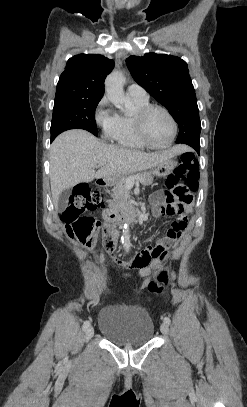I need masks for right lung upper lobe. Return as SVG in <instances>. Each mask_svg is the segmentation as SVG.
<instances>
[{
	"instance_id": "cb5924a9",
	"label": "right lung upper lobe",
	"mask_w": 247,
	"mask_h": 407,
	"mask_svg": "<svg viewBox=\"0 0 247 407\" xmlns=\"http://www.w3.org/2000/svg\"><path fill=\"white\" fill-rule=\"evenodd\" d=\"M113 67L114 61L102 55L80 54L70 58L59 78L55 99H101L105 78Z\"/></svg>"
}]
</instances>
